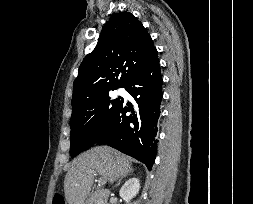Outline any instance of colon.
Here are the masks:
<instances>
[{"label": "colon", "instance_id": "1", "mask_svg": "<svg viewBox=\"0 0 253 204\" xmlns=\"http://www.w3.org/2000/svg\"><path fill=\"white\" fill-rule=\"evenodd\" d=\"M52 204H65V200L60 193H55L53 196Z\"/></svg>", "mask_w": 253, "mask_h": 204}]
</instances>
